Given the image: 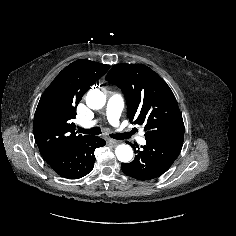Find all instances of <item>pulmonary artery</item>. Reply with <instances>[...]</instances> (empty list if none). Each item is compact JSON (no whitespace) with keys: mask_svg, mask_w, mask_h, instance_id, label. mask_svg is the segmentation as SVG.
<instances>
[{"mask_svg":"<svg viewBox=\"0 0 236 236\" xmlns=\"http://www.w3.org/2000/svg\"><path fill=\"white\" fill-rule=\"evenodd\" d=\"M123 106H124V101H123V98L121 95L112 94L110 96L108 103H107L106 116H107L108 121L113 126L119 125L120 115H121ZM95 122L96 121L89 122L86 124V126H92L93 124H95ZM137 140L142 145H144L146 142L142 135L138 136Z\"/></svg>","mask_w":236,"mask_h":236,"instance_id":"e3ab8cb5","label":"pulmonary artery"}]
</instances>
